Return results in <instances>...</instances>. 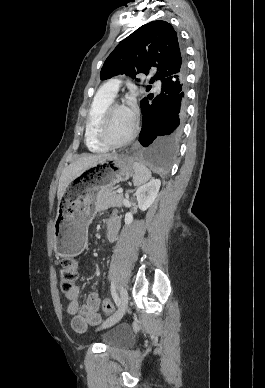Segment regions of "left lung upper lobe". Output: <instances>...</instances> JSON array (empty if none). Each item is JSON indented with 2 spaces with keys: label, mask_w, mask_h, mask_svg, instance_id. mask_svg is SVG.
<instances>
[{
  "label": "left lung upper lobe",
  "mask_w": 265,
  "mask_h": 388,
  "mask_svg": "<svg viewBox=\"0 0 265 388\" xmlns=\"http://www.w3.org/2000/svg\"><path fill=\"white\" fill-rule=\"evenodd\" d=\"M151 67L157 71L150 83L186 70L177 33L165 21L149 22L122 40L104 62L100 78L104 80L119 74L135 78L140 73L147 75Z\"/></svg>",
  "instance_id": "left-lung-upper-lobe-1"
}]
</instances>
